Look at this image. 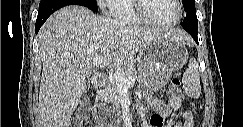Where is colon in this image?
Instances as JSON below:
<instances>
[{"instance_id": "colon-1", "label": "colon", "mask_w": 243, "mask_h": 127, "mask_svg": "<svg viewBox=\"0 0 243 127\" xmlns=\"http://www.w3.org/2000/svg\"><path fill=\"white\" fill-rule=\"evenodd\" d=\"M170 94L175 97H182L179 79L177 78L172 79L170 85ZM76 116H77V121L81 123L86 118V112L80 109L77 111Z\"/></svg>"}]
</instances>
